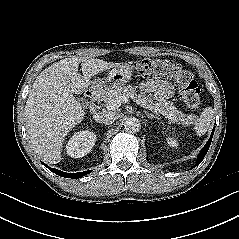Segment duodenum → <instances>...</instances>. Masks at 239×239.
I'll use <instances>...</instances> for the list:
<instances>
[{"label":"duodenum","mask_w":239,"mask_h":239,"mask_svg":"<svg viewBox=\"0 0 239 239\" xmlns=\"http://www.w3.org/2000/svg\"><path fill=\"white\" fill-rule=\"evenodd\" d=\"M86 97L92 102V105H94L93 103L96 100V92L94 90H88L86 92Z\"/></svg>","instance_id":"410a0bca"}]
</instances>
